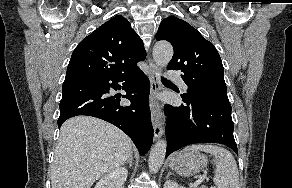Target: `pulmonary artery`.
Listing matches in <instances>:
<instances>
[{
	"instance_id": "obj_1",
	"label": "pulmonary artery",
	"mask_w": 292,
	"mask_h": 188,
	"mask_svg": "<svg viewBox=\"0 0 292 188\" xmlns=\"http://www.w3.org/2000/svg\"><path fill=\"white\" fill-rule=\"evenodd\" d=\"M168 77H169L170 79H173V80H177V81H179L180 86H181L183 89H186V84H185L183 81H181L180 74H179L177 71H175V70H169V71H168Z\"/></svg>"
}]
</instances>
